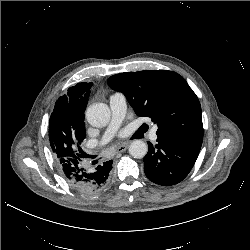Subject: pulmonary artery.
<instances>
[{
    "label": "pulmonary artery",
    "mask_w": 250,
    "mask_h": 250,
    "mask_svg": "<svg viewBox=\"0 0 250 250\" xmlns=\"http://www.w3.org/2000/svg\"><path fill=\"white\" fill-rule=\"evenodd\" d=\"M109 106L111 110V121L101 138L100 144L107 143L114 136L121 122L123 121L127 110L125 96L121 93L112 94L109 98ZM156 131L157 128L154 127L151 132V139L153 141L157 140Z\"/></svg>",
    "instance_id": "e3ab8cb5"
}]
</instances>
